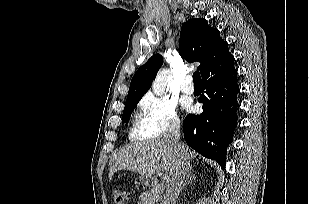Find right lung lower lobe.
<instances>
[{
	"mask_svg": "<svg viewBox=\"0 0 309 204\" xmlns=\"http://www.w3.org/2000/svg\"><path fill=\"white\" fill-rule=\"evenodd\" d=\"M199 98L203 112L188 114L183 122L186 143L199 154L225 166L227 146L232 142L239 107L237 70L234 65L203 81Z\"/></svg>",
	"mask_w": 309,
	"mask_h": 204,
	"instance_id": "1",
	"label": "right lung lower lobe"
}]
</instances>
